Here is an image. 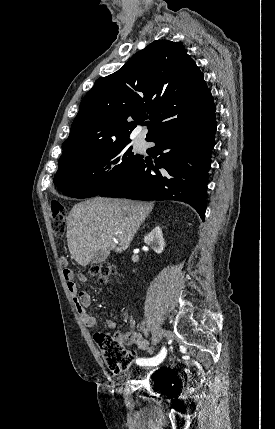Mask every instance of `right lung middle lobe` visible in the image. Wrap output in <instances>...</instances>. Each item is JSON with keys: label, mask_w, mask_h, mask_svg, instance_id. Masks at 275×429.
<instances>
[{"label": "right lung middle lobe", "mask_w": 275, "mask_h": 429, "mask_svg": "<svg viewBox=\"0 0 275 429\" xmlns=\"http://www.w3.org/2000/svg\"><path fill=\"white\" fill-rule=\"evenodd\" d=\"M124 140L107 147L88 152L59 167L54 183L73 198L99 195L125 175L141 160Z\"/></svg>", "instance_id": "1"}]
</instances>
